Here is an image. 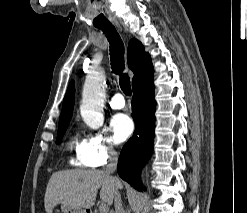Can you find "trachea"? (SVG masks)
Here are the masks:
<instances>
[{"instance_id":"1","label":"trachea","mask_w":247,"mask_h":213,"mask_svg":"<svg viewBox=\"0 0 247 213\" xmlns=\"http://www.w3.org/2000/svg\"><path fill=\"white\" fill-rule=\"evenodd\" d=\"M96 27L103 31L110 44L111 68L113 73L119 75V84L121 90L125 95L131 96L132 91L130 78L126 73H123L125 69L124 44L121 37L111 23L97 25Z\"/></svg>"}]
</instances>
